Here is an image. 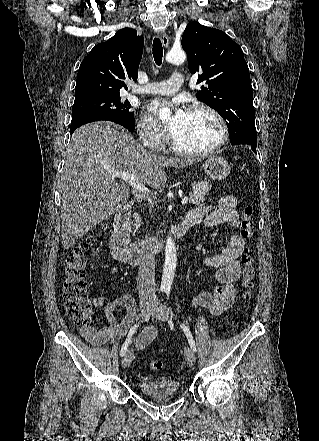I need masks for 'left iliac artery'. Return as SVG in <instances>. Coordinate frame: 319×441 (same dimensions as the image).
<instances>
[{"label": "left iliac artery", "instance_id": "44dca946", "mask_svg": "<svg viewBox=\"0 0 319 441\" xmlns=\"http://www.w3.org/2000/svg\"><path fill=\"white\" fill-rule=\"evenodd\" d=\"M166 294H167V296H168V297H167V300H169V294H170V291H169V290H166ZM171 315H172V311H171ZM180 326H181L182 330L184 331V333H185V335H186V337H187V339H188V341H189V344H190L191 349H192L194 352H196V344H195V341H194V339H193V336H192V334H191L189 328H188L185 324H183V323H180Z\"/></svg>", "mask_w": 319, "mask_h": 441}]
</instances>
